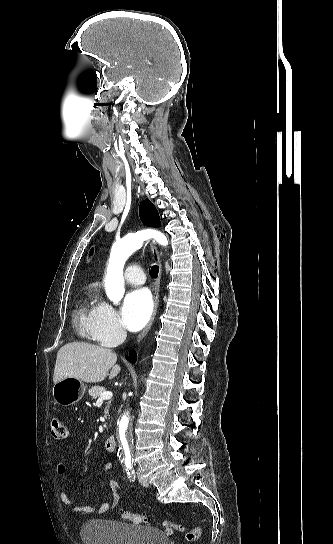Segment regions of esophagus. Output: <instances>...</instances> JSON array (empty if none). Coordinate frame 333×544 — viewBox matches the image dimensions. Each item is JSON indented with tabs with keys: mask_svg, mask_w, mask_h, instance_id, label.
Masks as SVG:
<instances>
[{
	"mask_svg": "<svg viewBox=\"0 0 333 544\" xmlns=\"http://www.w3.org/2000/svg\"><path fill=\"white\" fill-rule=\"evenodd\" d=\"M150 248H151V252H152V255H153V258L156 260L157 264H158V267H159V273H158V277L155 281V284H154V307H153V312H152V316L148 322V324L146 325V327L141 331V333L137 336L136 338V341L139 342L140 340H142L146 334L148 333V331L150 330L153 322H154V319L156 317V314H157V310H158V306H159V295H160V282H161V277H162V271H163V267H162V262H161V258H160V254L158 252V249L155 245L154 242H151L150 244Z\"/></svg>",
	"mask_w": 333,
	"mask_h": 544,
	"instance_id": "1",
	"label": "esophagus"
}]
</instances>
